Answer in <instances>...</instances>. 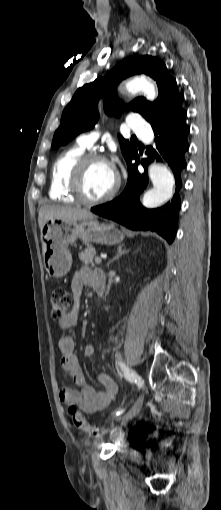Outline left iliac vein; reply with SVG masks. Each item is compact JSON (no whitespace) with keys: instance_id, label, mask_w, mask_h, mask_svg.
Returning a JSON list of instances; mask_svg holds the SVG:
<instances>
[{"instance_id":"4c4485c4","label":"left iliac vein","mask_w":221,"mask_h":510,"mask_svg":"<svg viewBox=\"0 0 221 510\" xmlns=\"http://www.w3.org/2000/svg\"><path fill=\"white\" fill-rule=\"evenodd\" d=\"M144 401V395L140 394L132 408L124 415L122 421L127 422L134 418L141 410Z\"/></svg>"}]
</instances>
